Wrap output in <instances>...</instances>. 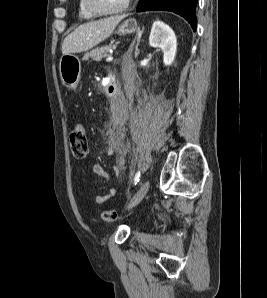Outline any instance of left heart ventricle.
Returning <instances> with one entry per match:
<instances>
[{
    "label": "left heart ventricle",
    "mask_w": 267,
    "mask_h": 298,
    "mask_svg": "<svg viewBox=\"0 0 267 298\" xmlns=\"http://www.w3.org/2000/svg\"><path fill=\"white\" fill-rule=\"evenodd\" d=\"M126 0H94L96 6L105 11H114L120 8Z\"/></svg>",
    "instance_id": "obj_1"
}]
</instances>
